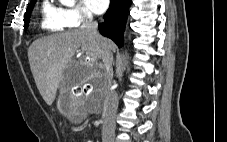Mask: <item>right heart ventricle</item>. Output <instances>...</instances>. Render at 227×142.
Returning a JSON list of instances; mask_svg holds the SVG:
<instances>
[{"label":"right heart ventricle","instance_id":"1","mask_svg":"<svg viewBox=\"0 0 227 142\" xmlns=\"http://www.w3.org/2000/svg\"><path fill=\"white\" fill-rule=\"evenodd\" d=\"M40 27L49 33L65 31L69 25L63 9L51 0H43L40 7Z\"/></svg>","mask_w":227,"mask_h":142}]
</instances>
